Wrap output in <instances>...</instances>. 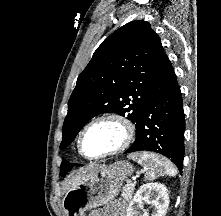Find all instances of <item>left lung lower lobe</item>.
I'll list each match as a JSON object with an SVG mask.
<instances>
[{"mask_svg":"<svg viewBox=\"0 0 221 216\" xmlns=\"http://www.w3.org/2000/svg\"><path fill=\"white\" fill-rule=\"evenodd\" d=\"M184 130L182 95L173 67L165 54L153 76L145 109L136 126V139L124 153L157 152L168 157L181 171Z\"/></svg>","mask_w":221,"mask_h":216,"instance_id":"obj_1","label":"left lung lower lobe"}]
</instances>
